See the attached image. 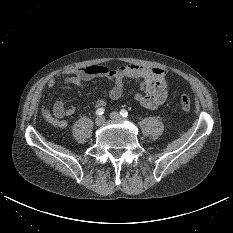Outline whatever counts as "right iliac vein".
<instances>
[{"label": "right iliac vein", "mask_w": 233, "mask_h": 233, "mask_svg": "<svg viewBox=\"0 0 233 233\" xmlns=\"http://www.w3.org/2000/svg\"><path fill=\"white\" fill-rule=\"evenodd\" d=\"M104 122H105V118H104L103 116H99V117H97L96 120H95V124H96L97 126L103 125Z\"/></svg>", "instance_id": "right-iliac-vein-1"}]
</instances>
